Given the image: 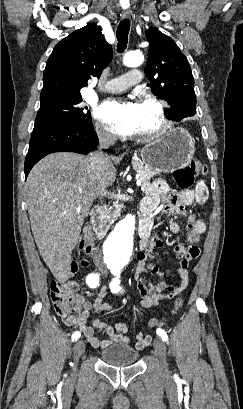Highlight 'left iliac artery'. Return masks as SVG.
<instances>
[{
	"label": "left iliac artery",
	"instance_id": "1",
	"mask_svg": "<svg viewBox=\"0 0 243 409\" xmlns=\"http://www.w3.org/2000/svg\"><path fill=\"white\" fill-rule=\"evenodd\" d=\"M112 273L115 275L113 280L110 283V289L112 292L117 293L121 290L120 284V274L118 270H112ZM157 335L162 338L163 341H168L167 333L163 329H157Z\"/></svg>",
	"mask_w": 243,
	"mask_h": 409
}]
</instances>
